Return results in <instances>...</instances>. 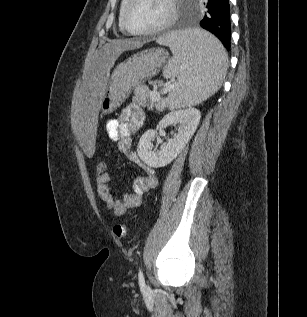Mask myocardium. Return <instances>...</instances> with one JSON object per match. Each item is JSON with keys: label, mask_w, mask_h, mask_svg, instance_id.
Wrapping results in <instances>:
<instances>
[{"label": "myocardium", "mask_w": 307, "mask_h": 317, "mask_svg": "<svg viewBox=\"0 0 307 317\" xmlns=\"http://www.w3.org/2000/svg\"><path fill=\"white\" fill-rule=\"evenodd\" d=\"M134 2V0H127V3L124 6L123 12H122V25L123 28L126 32H128L131 35H135V36H150V35H155L157 33H160L162 31H164L165 29H167L168 27H170L177 18V5H176V0H167L168 4H169V8H170V13L168 15V17L166 18V20L164 22H162L161 24L148 29V30H143V31H135L132 30L129 27L128 21H127V13L128 10L131 6V4Z\"/></svg>", "instance_id": "1"}]
</instances>
